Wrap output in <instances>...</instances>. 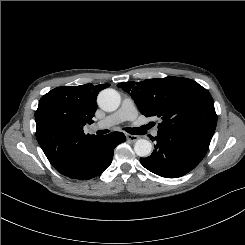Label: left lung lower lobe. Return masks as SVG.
<instances>
[{
    "instance_id": "obj_1",
    "label": "left lung lower lobe",
    "mask_w": 245,
    "mask_h": 245,
    "mask_svg": "<svg viewBox=\"0 0 245 245\" xmlns=\"http://www.w3.org/2000/svg\"><path fill=\"white\" fill-rule=\"evenodd\" d=\"M153 153L140 158L149 171L166 178L181 177L205 156L211 137L187 130H158Z\"/></svg>"
}]
</instances>
